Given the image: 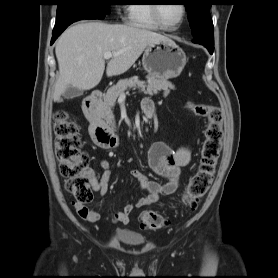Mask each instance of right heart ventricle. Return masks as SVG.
Listing matches in <instances>:
<instances>
[{
	"mask_svg": "<svg viewBox=\"0 0 278 278\" xmlns=\"http://www.w3.org/2000/svg\"><path fill=\"white\" fill-rule=\"evenodd\" d=\"M151 4L134 3L128 6V21L130 24L158 30L160 27L156 24L151 13Z\"/></svg>",
	"mask_w": 278,
	"mask_h": 278,
	"instance_id": "e07e8e85",
	"label": "right heart ventricle"
}]
</instances>
